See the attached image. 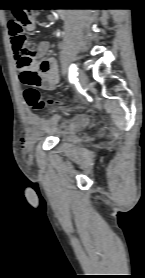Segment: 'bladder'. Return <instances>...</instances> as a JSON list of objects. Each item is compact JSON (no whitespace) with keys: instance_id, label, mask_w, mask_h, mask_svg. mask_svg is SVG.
I'll return each instance as SVG.
<instances>
[{"instance_id":"bladder-1","label":"bladder","mask_w":145,"mask_h":278,"mask_svg":"<svg viewBox=\"0 0 145 278\" xmlns=\"http://www.w3.org/2000/svg\"><path fill=\"white\" fill-rule=\"evenodd\" d=\"M88 125V119L77 116L70 122L65 129L57 134L59 141H64L71 132L83 129Z\"/></svg>"}]
</instances>
